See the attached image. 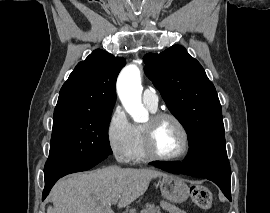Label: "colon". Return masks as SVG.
<instances>
[{
	"label": "colon",
	"mask_w": 270,
	"mask_h": 213,
	"mask_svg": "<svg viewBox=\"0 0 270 213\" xmlns=\"http://www.w3.org/2000/svg\"><path fill=\"white\" fill-rule=\"evenodd\" d=\"M190 195L196 207L207 210L212 206V194L206 187L193 186L191 187Z\"/></svg>",
	"instance_id": "1"
}]
</instances>
